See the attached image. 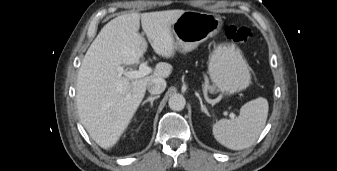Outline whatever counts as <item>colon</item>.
<instances>
[{
  "label": "colon",
  "instance_id": "obj_1",
  "mask_svg": "<svg viewBox=\"0 0 337 171\" xmlns=\"http://www.w3.org/2000/svg\"><path fill=\"white\" fill-rule=\"evenodd\" d=\"M223 35L228 40L238 42V43H246L252 36L250 29L246 27L229 25L226 26Z\"/></svg>",
  "mask_w": 337,
  "mask_h": 171
}]
</instances>
